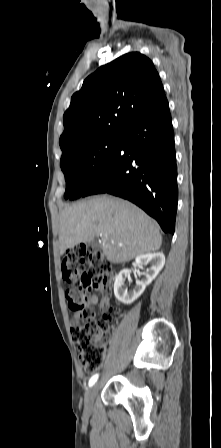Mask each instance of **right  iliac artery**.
<instances>
[{
	"mask_svg": "<svg viewBox=\"0 0 221 448\" xmlns=\"http://www.w3.org/2000/svg\"><path fill=\"white\" fill-rule=\"evenodd\" d=\"M98 376H99V374H95L94 376L91 377V379L89 380V386L90 387L95 384V382L98 379Z\"/></svg>",
	"mask_w": 221,
	"mask_h": 448,
	"instance_id": "right-iliac-artery-1",
	"label": "right iliac artery"
}]
</instances>
